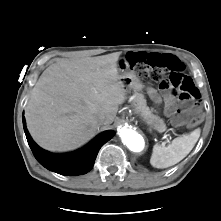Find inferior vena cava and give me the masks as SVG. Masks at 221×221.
<instances>
[{
    "label": "inferior vena cava",
    "instance_id": "inferior-vena-cava-1",
    "mask_svg": "<svg viewBox=\"0 0 221 221\" xmlns=\"http://www.w3.org/2000/svg\"><path fill=\"white\" fill-rule=\"evenodd\" d=\"M104 120H105V117H104L103 115H99V116L97 117V121H98L99 123H103Z\"/></svg>",
    "mask_w": 221,
    "mask_h": 221
}]
</instances>
